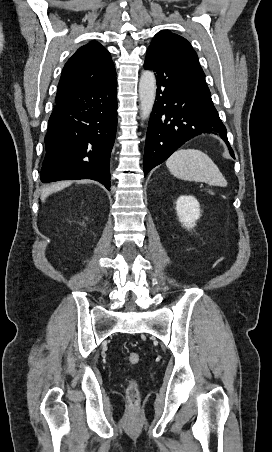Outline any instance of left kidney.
Returning <instances> with one entry per match:
<instances>
[{
    "label": "left kidney",
    "instance_id": "5707ae66",
    "mask_svg": "<svg viewBox=\"0 0 272 452\" xmlns=\"http://www.w3.org/2000/svg\"><path fill=\"white\" fill-rule=\"evenodd\" d=\"M179 221L185 228L191 229L201 216L200 204L194 196H180L176 201Z\"/></svg>",
    "mask_w": 272,
    "mask_h": 452
}]
</instances>
